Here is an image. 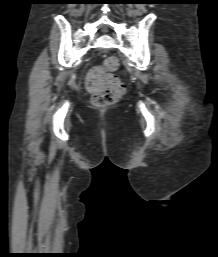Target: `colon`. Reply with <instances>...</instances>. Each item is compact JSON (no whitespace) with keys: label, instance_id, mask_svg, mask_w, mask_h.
Listing matches in <instances>:
<instances>
[{"label":"colon","instance_id":"obj_1","mask_svg":"<svg viewBox=\"0 0 218 257\" xmlns=\"http://www.w3.org/2000/svg\"><path fill=\"white\" fill-rule=\"evenodd\" d=\"M119 67L116 57L110 56L104 61V68H92L86 77V86L92 93V101L97 106H107L115 103L124 93V84L111 72ZM104 70L109 72L104 73Z\"/></svg>","mask_w":218,"mask_h":257}]
</instances>
